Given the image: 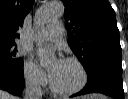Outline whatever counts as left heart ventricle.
I'll list each match as a JSON object with an SVG mask.
<instances>
[{"label":"left heart ventricle","instance_id":"obj_1","mask_svg":"<svg viewBox=\"0 0 128 99\" xmlns=\"http://www.w3.org/2000/svg\"><path fill=\"white\" fill-rule=\"evenodd\" d=\"M56 65V62L51 64V68ZM81 72L78 66L74 63L61 61L57 64L56 72L51 78L54 85L61 90H69L76 87L81 82Z\"/></svg>","mask_w":128,"mask_h":99}]
</instances>
